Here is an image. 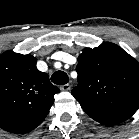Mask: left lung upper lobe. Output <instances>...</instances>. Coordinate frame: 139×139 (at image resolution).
<instances>
[{
	"instance_id": "1",
	"label": "left lung upper lobe",
	"mask_w": 139,
	"mask_h": 139,
	"mask_svg": "<svg viewBox=\"0 0 139 139\" xmlns=\"http://www.w3.org/2000/svg\"><path fill=\"white\" fill-rule=\"evenodd\" d=\"M76 70L78 85L71 94L89 116L139 108V63L121 47L105 42L87 48Z\"/></svg>"
}]
</instances>
